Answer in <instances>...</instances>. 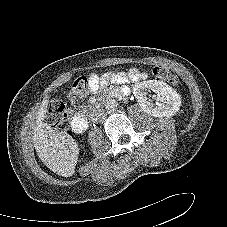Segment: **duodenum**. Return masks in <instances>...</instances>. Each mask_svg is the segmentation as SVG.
Wrapping results in <instances>:
<instances>
[{
	"mask_svg": "<svg viewBox=\"0 0 227 227\" xmlns=\"http://www.w3.org/2000/svg\"><path fill=\"white\" fill-rule=\"evenodd\" d=\"M72 125L76 132L82 133L87 130L89 122L84 113H79L73 117Z\"/></svg>",
	"mask_w": 227,
	"mask_h": 227,
	"instance_id": "410a0bca",
	"label": "duodenum"
}]
</instances>
